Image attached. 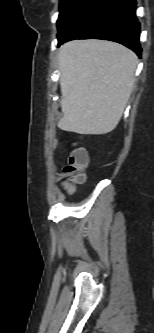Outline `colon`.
<instances>
[{
    "label": "colon",
    "instance_id": "colon-1",
    "mask_svg": "<svg viewBox=\"0 0 154 333\" xmlns=\"http://www.w3.org/2000/svg\"><path fill=\"white\" fill-rule=\"evenodd\" d=\"M88 165V156L84 149L74 148L68 158V163L63 169L62 187L69 193L74 191L75 185L85 180V170Z\"/></svg>",
    "mask_w": 154,
    "mask_h": 333
}]
</instances>
